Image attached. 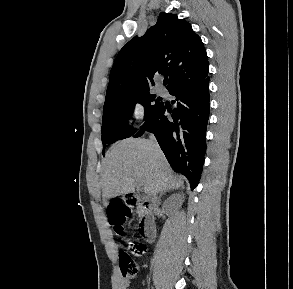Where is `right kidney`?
<instances>
[{"label": "right kidney", "mask_w": 293, "mask_h": 289, "mask_svg": "<svg viewBox=\"0 0 293 289\" xmlns=\"http://www.w3.org/2000/svg\"><path fill=\"white\" fill-rule=\"evenodd\" d=\"M181 204H182V198L180 195L176 194L171 196L164 202L163 209L166 212H171L173 210H176Z\"/></svg>", "instance_id": "right-kidney-1"}]
</instances>
